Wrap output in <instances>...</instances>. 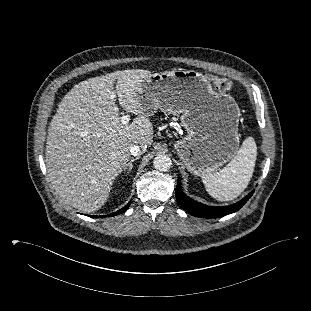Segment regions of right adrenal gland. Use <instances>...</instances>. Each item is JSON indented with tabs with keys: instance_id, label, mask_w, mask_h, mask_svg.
<instances>
[{
	"instance_id": "1",
	"label": "right adrenal gland",
	"mask_w": 311,
	"mask_h": 311,
	"mask_svg": "<svg viewBox=\"0 0 311 311\" xmlns=\"http://www.w3.org/2000/svg\"><path fill=\"white\" fill-rule=\"evenodd\" d=\"M138 159H139V157L132 158V159L130 160V162H129L128 164L125 165V167H124V173H125V171L127 170V171H128V174H130V173L132 172L133 162L136 161V160H138Z\"/></svg>"
}]
</instances>
